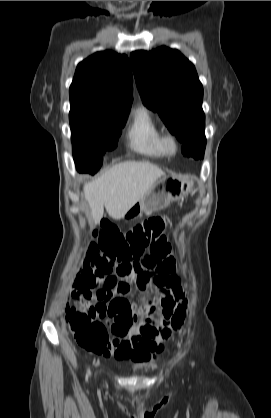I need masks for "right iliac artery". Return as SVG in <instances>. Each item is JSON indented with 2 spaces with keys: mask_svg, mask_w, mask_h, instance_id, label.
Segmentation results:
<instances>
[{
  "mask_svg": "<svg viewBox=\"0 0 271 418\" xmlns=\"http://www.w3.org/2000/svg\"><path fill=\"white\" fill-rule=\"evenodd\" d=\"M87 376H90V370H88V372H87Z\"/></svg>",
  "mask_w": 271,
  "mask_h": 418,
  "instance_id": "right-iliac-artery-1",
  "label": "right iliac artery"
}]
</instances>
